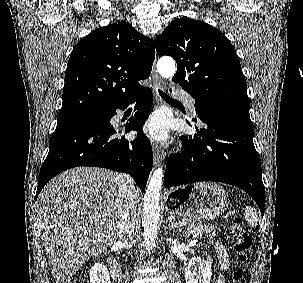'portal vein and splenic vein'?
Wrapping results in <instances>:
<instances>
[{
    "mask_svg": "<svg viewBox=\"0 0 303 283\" xmlns=\"http://www.w3.org/2000/svg\"><path fill=\"white\" fill-rule=\"evenodd\" d=\"M182 224H183V223H181V222L178 223L179 226H182Z\"/></svg>",
    "mask_w": 303,
    "mask_h": 283,
    "instance_id": "1",
    "label": "portal vein and splenic vein"
}]
</instances>
